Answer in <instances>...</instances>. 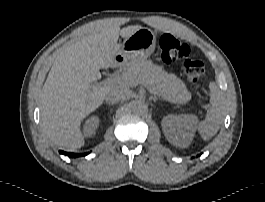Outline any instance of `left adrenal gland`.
I'll list each match as a JSON object with an SVG mask.
<instances>
[{
	"instance_id": "obj_1",
	"label": "left adrenal gland",
	"mask_w": 265,
	"mask_h": 202,
	"mask_svg": "<svg viewBox=\"0 0 265 202\" xmlns=\"http://www.w3.org/2000/svg\"><path fill=\"white\" fill-rule=\"evenodd\" d=\"M152 100H153L154 102H156V101H158V100H161V98L153 97Z\"/></svg>"
}]
</instances>
